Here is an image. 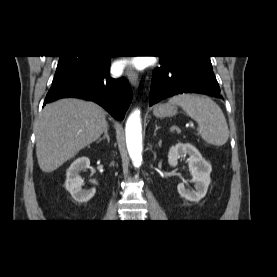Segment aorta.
Returning <instances> with one entry per match:
<instances>
[{"label": "aorta", "mask_w": 277, "mask_h": 277, "mask_svg": "<svg viewBox=\"0 0 277 277\" xmlns=\"http://www.w3.org/2000/svg\"><path fill=\"white\" fill-rule=\"evenodd\" d=\"M125 135L130 158L134 166L139 167L142 163V125L140 110H134L128 117Z\"/></svg>", "instance_id": "762f6f07"}]
</instances>
